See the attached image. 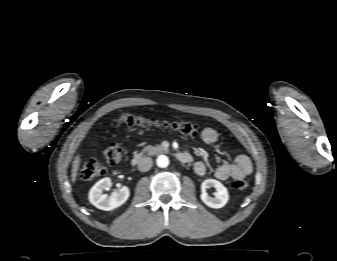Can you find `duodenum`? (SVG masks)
I'll use <instances>...</instances> for the list:
<instances>
[{
	"mask_svg": "<svg viewBox=\"0 0 337 261\" xmlns=\"http://www.w3.org/2000/svg\"><path fill=\"white\" fill-rule=\"evenodd\" d=\"M177 159L182 163H189L192 160V157L190 154L185 152H179L177 153ZM142 156L140 154H136L131 159V164L133 166H137L142 161Z\"/></svg>",
	"mask_w": 337,
	"mask_h": 261,
	"instance_id": "410a0bca",
	"label": "duodenum"
}]
</instances>
